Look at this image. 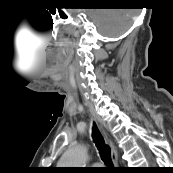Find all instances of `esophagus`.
<instances>
[{
  "instance_id": "34e87169",
  "label": "esophagus",
  "mask_w": 173,
  "mask_h": 173,
  "mask_svg": "<svg viewBox=\"0 0 173 173\" xmlns=\"http://www.w3.org/2000/svg\"><path fill=\"white\" fill-rule=\"evenodd\" d=\"M102 132H103V135H104L106 141L108 142V144L111 147L112 162H113L114 166H117L118 165V155H117V151H116V148L114 146V143H113L111 137L103 129H102Z\"/></svg>"
}]
</instances>
